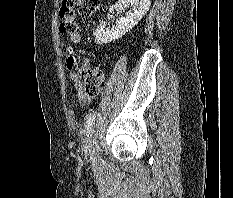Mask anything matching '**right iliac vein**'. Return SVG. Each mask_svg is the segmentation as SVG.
<instances>
[{
	"mask_svg": "<svg viewBox=\"0 0 233 198\" xmlns=\"http://www.w3.org/2000/svg\"><path fill=\"white\" fill-rule=\"evenodd\" d=\"M89 153H90V158L92 162L96 165H98L101 161L99 154L97 151L93 148L92 145V140L89 141Z\"/></svg>",
	"mask_w": 233,
	"mask_h": 198,
	"instance_id": "1",
	"label": "right iliac vein"
}]
</instances>
